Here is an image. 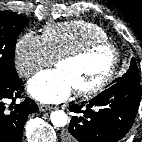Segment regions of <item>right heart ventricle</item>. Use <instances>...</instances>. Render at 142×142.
Here are the masks:
<instances>
[{"instance_id":"1","label":"right heart ventricle","mask_w":142,"mask_h":142,"mask_svg":"<svg viewBox=\"0 0 142 142\" xmlns=\"http://www.w3.org/2000/svg\"><path fill=\"white\" fill-rule=\"evenodd\" d=\"M42 38L53 59L86 43L108 39L104 29L84 20L49 23L44 27Z\"/></svg>"}]
</instances>
